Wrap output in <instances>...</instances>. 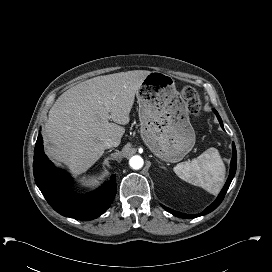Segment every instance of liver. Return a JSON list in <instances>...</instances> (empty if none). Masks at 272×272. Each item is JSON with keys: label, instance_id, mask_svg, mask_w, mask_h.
<instances>
[{"label": "liver", "instance_id": "6515ba94", "mask_svg": "<svg viewBox=\"0 0 272 272\" xmlns=\"http://www.w3.org/2000/svg\"><path fill=\"white\" fill-rule=\"evenodd\" d=\"M148 74L134 70L98 76L65 91L45 123L46 154L76 175L86 172L103 155L106 139L120 143L125 133L120 125L129 123L135 94Z\"/></svg>", "mask_w": 272, "mask_h": 272}]
</instances>
